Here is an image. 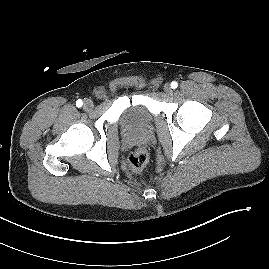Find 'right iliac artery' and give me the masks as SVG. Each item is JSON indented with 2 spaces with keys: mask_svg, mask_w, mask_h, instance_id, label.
<instances>
[{
  "mask_svg": "<svg viewBox=\"0 0 269 269\" xmlns=\"http://www.w3.org/2000/svg\"><path fill=\"white\" fill-rule=\"evenodd\" d=\"M82 104H83L82 100L79 99V100L76 101V106L77 107H81Z\"/></svg>",
  "mask_w": 269,
  "mask_h": 269,
  "instance_id": "82829eb1",
  "label": "right iliac artery"
}]
</instances>
